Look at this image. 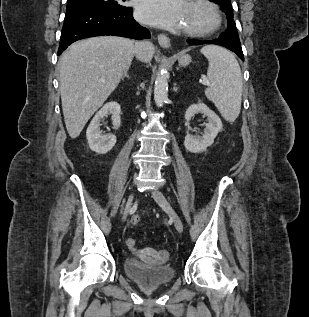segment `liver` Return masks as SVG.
<instances>
[{
	"mask_svg": "<svg viewBox=\"0 0 309 317\" xmlns=\"http://www.w3.org/2000/svg\"><path fill=\"white\" fill-rule=\"evenodd\" d=\"M141 44L138 54L135 44ZM102 36L77 41L59 60V80L66 129L77 138L90 117L115 90L134 55L149 63L155 53L151 42Z\"/></svg>",
	"mask_w": 309,
	"mask_h": 317,
	"instance_id": "1",
	"label": "liver"
}]
</instances>
